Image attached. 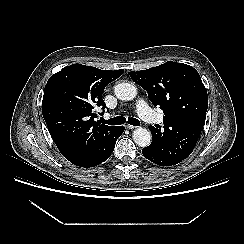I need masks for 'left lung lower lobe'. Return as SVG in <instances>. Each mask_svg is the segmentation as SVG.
I'll use <instances>...</instances> for the list:
<instances>
[{"label":"left lung lower lobe","mask_w":244,"mask_h":244,"mask_svg":"<svg viewBox=\"0 0 244 244\" xmlns=\"http://www.w3.org/2000/svg\"><path fill=\"white\" fill-rule=\"evenodd\" d=\"M143 156L147 158L148 160L156 163L157 165H160L161 161L159 159L158 154L156 151L151 147L150 145L142 150ZM162 166V165H160Z\"/></svg>","instance_id":"0a47b994"}]
</instances>
